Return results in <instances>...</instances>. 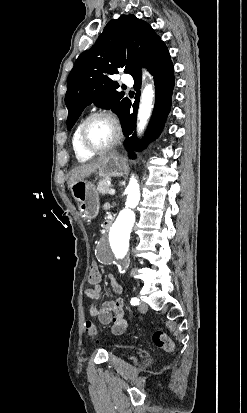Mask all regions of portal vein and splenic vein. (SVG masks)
<instances>
[{
  "instance_id": "portal-vein-and-splenic-vein-1",
  "label": "portal vein and splenic vein",
  "mask_w": 247,
  "mask_h": 413,
  "mask_svg": "<svg viewBox=\"0 0 247 413\" xmlns=\"http://www.w3.org/2000/svg\"><path fill=\"white\" fill-rule=\"evenodd\" d=\"M109 194H115V188H110V190H108Z\"/></svg>"
}]
</instances>
